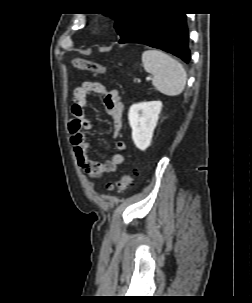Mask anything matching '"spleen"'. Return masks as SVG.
Here are the masks:
<instances>
[{"label":"spleen","instance_id":"spleen-1","mask_svg":"<svg viewBox=\"0 0 252 303\" xmlns=\"http://www.w3.org/2000/svg\"><path fill=\"white\" fill-rule=\"evenodd\" d=\"M146 72L153 75L152 84L167 96H177L186 85L187 75L183 66L168 54L156 50H146L142 54Z\"/></svg>","mask_w":252,"mask_h":303}]
</instances>
